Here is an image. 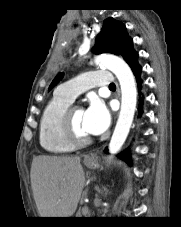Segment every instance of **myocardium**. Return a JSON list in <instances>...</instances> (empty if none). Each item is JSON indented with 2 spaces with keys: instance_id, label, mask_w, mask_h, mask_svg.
I'll return each mask as SVG.
<instances>
[{
  "instance_id": "1",
  "label": "myocardium",
  "mask_w": 181,
  "mask_h": 227,
  "mask_svg": "<svg viewBox=\"0 0 181 227\" xmlns=\"http://www.w3.org/2000/svg\"><path fill=\"white\" fill-rule=\"evenodd\" d=\"M77 109H82L78 105H70L64 112L62 118V129L66 138L75 146H85L91 143L92 138L79 134L74 126L73 113Z\"/></svg>"
}]
</instances>
